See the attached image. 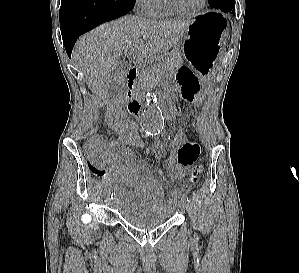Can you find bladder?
<instances>
[{
	"label": "bladder",
	"instance_id": "obj_1",
	"mask_svg": "<svg viewBox=\"0 0 299 273\" xmlns=\"http://www.w3.org/2000/svg\"><path fill=\"white\" fill-rule=\"evenodd\" d=\"M174 203L163 209H155L150 215H143L137 211H122L120 216L128 225L141 230H149L167 223L173 214Z\"/></svg>",
	"mask_w": 299,
	"mask_h": 273
}]
</instances>
